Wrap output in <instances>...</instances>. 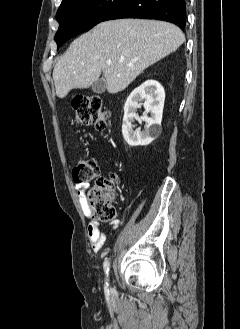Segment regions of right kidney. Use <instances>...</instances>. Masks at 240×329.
I'll return each mask as SVG.
<instances>
[{
    "mask_svg": "<svg viewBox=\"0 0 240 329\" xmlns=\"http://www.w3.org/2000/svg\"><path fill=\"white\" fill-rule=\"evenodd\" d=\"M164 100V88L155 80H147L132 91L124 106L122 125V134L129 146H147L160 135ZM142 105L145 114L139 117L136 112ZM135 120L145 122L143 131L133 130Z\"/></svg>",
    "mask_w": 240,
    "mask_h": 329,
    "instance_id": "1",
    "label": "right kidney"
}]
</instances>
